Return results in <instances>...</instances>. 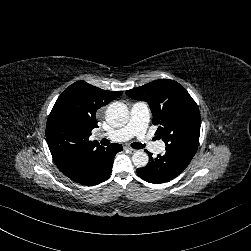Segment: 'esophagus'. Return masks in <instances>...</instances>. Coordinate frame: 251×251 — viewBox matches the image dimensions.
Returning <instances> with one entry per match:
<instances>
[{
  "label": "esophagus",
  "mask_w": 251,
  "mask_h": 251,
  "mask_svg": "<svg viewBox=\"0 0 251 251\" xmlns=\"http://www.w3.org/2000/svg\"><path fill=\"white\" fill-rule=\"evenodd\" d=\"M126 149L131 153L134 154L137 150L131 147H126Z\"/></svg>",
  "instance_id": "esophagus-1"
}]
</instances>
